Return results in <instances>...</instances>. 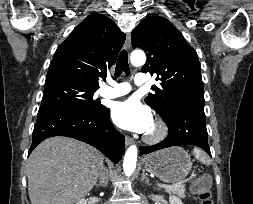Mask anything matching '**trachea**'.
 <instances>
[{"instance_id": "3493384b", "label": "trachea", "mask_w": 253, "mask_h": 204, "mask_svg": "<svg viewBox=\"0 0 253 204\" xmlns=\"http://www.w3.org/2000/svg\"><path fill=\"white\" fill-rule=\"evenodd\" d=\"M125 72L127 75H130L129 66H128V54L126 50H122L119 54L116 69H115V77H119L122 72Z\"/></svg>"}]
</instances>
